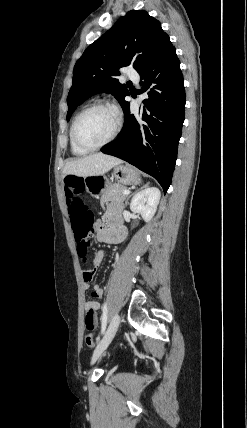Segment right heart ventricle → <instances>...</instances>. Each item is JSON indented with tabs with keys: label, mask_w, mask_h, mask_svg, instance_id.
I'll list each match as a JSON object with an SVG mask.
<instances>
[{
	"label": "right heart ventricle",
	"mask_w": 247,
	"mask_h": 428,
	"mask_svg": "<svg viewBox=\"0 0 247 428\" xmlns=\"http://www.w3.org/2000/svg\"><path fill=\"white\" fill-rule=\"evenodd\" d=\"M69 141H70V148L73 154L75 155H85L88 153V150L82 149L80 147H78L73 139H72V135H71V128H70V132H69Z\"/></svg>",
	"instance_id": "right-heart-ventricle-1"
}]
</instances>
